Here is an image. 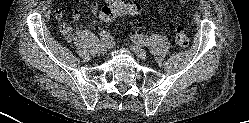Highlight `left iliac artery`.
<instances>
[{"instance_id": "obj_1", "label": "left iliac artery", "mask_w": 249, "mask_h": 123, "mask_svg": "<svg viewBox=\"0 0 249 123\" xmlns=\"http://www.w3.org/2000/svg\"><path fill=\"white\" fill-rule=\"evenodd\" d=\"M135 39L138 41L140 45L147 46L149 44V39L148 37L144 35H135Z\"/></svg>"}]
</instances>
